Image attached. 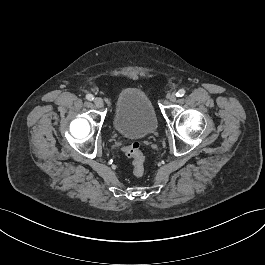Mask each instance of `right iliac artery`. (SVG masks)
<instances>
[{"label":"right iliac artery","instance_id":"82829eb1","mask_svg":"<svg viewBox=\"0 0 265 265\" xmlns=\"http://www.w3.org/2000/svg\"><path fill=\"white\" fill-rule=\"evenodd\" d=\"M86 99L92 101L94 99V96L92 94H87Z\"/></svg>","mask_w":265,"mask_h":265}]
</instances>
